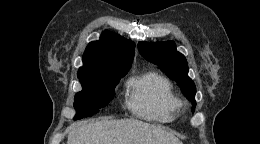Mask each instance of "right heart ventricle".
Wrapping results in <instances>:
<instances>
[{
	"label": "right heart ventricle",
	"instance_id": "right-heart-ventricle-1",
	"mask_svg": "<svg viewBox=\"0 0 260 144\" xmlns=\"http://www.w3.org/2000/svg\"><path fill=\"white\" fill-rule=\"evenodd\" d=\"M127 86L126 103L137 116L163 124L177 118L181 102L164 76L148 71L131 77Z\"/></svg>",
	"mask_w": 260,
	"mask_h": 144
}]
</instances>
